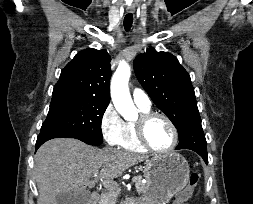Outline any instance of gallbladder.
Masks as SVG:
<instances>
[{"mask_svg":"<svg viewBox=\"0 0 253 204\" xmlns=\"http://www.w3.org/2000/svg\"><path fill=\"white\" fill-rule=\"evenodd\" d=\"M90 193L86 190L81 192L60 193L56 196L57 204H86Z\"/></svg>","mask_w":253,"mask_h":204,"instance_id":"obj_1","label":"gallbladder"}]
</instances>
